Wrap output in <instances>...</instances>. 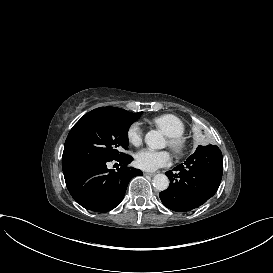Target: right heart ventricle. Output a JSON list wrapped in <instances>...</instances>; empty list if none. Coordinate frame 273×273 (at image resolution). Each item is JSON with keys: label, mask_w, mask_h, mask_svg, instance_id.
I'll return each instance as SVG.
<instances>
[{"label": "right heart ventricle", "mask_w": 273, "mask_h": 273, "mask_svg": "<svg viewBox=\"0 0 273 273\" xmlns=\"http://www.w3.org/2000/svg\"><path fill=\"white\" fill-rule=\"evenodd\" d=\"M151 124L163 129L169 137L182 136L185 132V122L176 114L167 113L155 116Z\"/></svg>", "instance_id": "right-heart-ventricle-1"}]
</instances>
